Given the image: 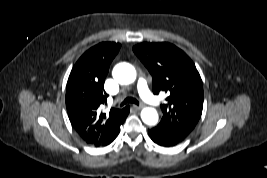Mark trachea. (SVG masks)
Listing matches in <instances>:
<instances>
[{
	"instance_id": "3493384b",
	"label": "trachea",
	"mask_w": 267,
	"mask_h": 178,
	"mask_svg": "<svg viewBox=\"0 0 267 178\" xmlns=\"http://www.w3.org/2000/svg\"><path fill=\"white\" fill-rule=\"evenodd\" d=\"M128 103H134L136 105H139V102L137 99L133 98V97H128L126 98L122 103H121V106L125 105V104H128Z\"/></svg>"
}]
</instances>
